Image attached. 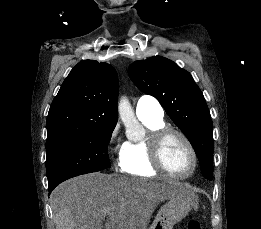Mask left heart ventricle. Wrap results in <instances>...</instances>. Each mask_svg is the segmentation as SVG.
I'll use <instances>...</instances> for the list:
<instances>
[{
	"label": "left heart ventricle",
	"mask_w": 261,
	"mask_h": 229,
	"mask_svg": "<svg viewBox=\"0 0 261 229\" xmlns=\"http://www.w3.org/2000/svg\"><path fill=\"white\" fill-rule=\"evenodd\" d=\"M164 158L168 167L178 174L188 172L193 163L188 147L179 137H173L166 143Z\"/></svg>",
	"instance_id": "left-heart-ventricle-1"
}]
</instances>
